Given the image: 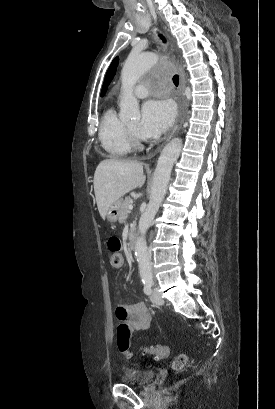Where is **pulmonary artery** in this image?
Here are the masks:
<instances>
[{"mask_svg": "<svg viewBox=\"0 0 275 409\" xmlns=\"http://www.w3.org/2000/svg\"><path fill=\"white\" fill-rule=\"evenodd\" d=\"M146 86L145 85H137L135 87V93L137 97L144 98L146 96Z\"/></svg>", "mask_w": 275, "mask_h": 409, "instance_id": "pulmonary-artery-1", "label": "pulmonary artery"}]
</instances>
